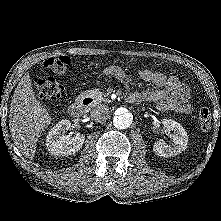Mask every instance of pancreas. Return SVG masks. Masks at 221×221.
<instances>
[{"mask_svg": "<svg viewBox=\"0 0 221 221\" xmlns=\"http://www.w3.org/2000/svg\"><path fill=\"white\" fill-rule=\"evenodd\" d=\"M85 94L93 97L94 99H96L97 102L107 101L106 95L98 89L86 91Z\"/></svg>", "mask_w": 221, "mask_h": 221, "instance_id": "cf45deb5", "label": "pancreas"}]
</instances>
